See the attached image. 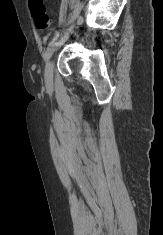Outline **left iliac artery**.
I'll list each match as a JSON object with an SVG mask.
<instances>
[{
  "instance_id": "44dca946",
  "label": "left iliac artery",
  "mask_w": 163,
  "mask_h": 235,
  "mask_svg": "<svg viewBox=\"0 0 163 235\" xmlns=\"http://www.w3.org/2000/svg\"><path fill=\"white\" fill-rule=\"evenodd\" d=\"M57 45H58V42H57V41H52V42L48 45L47 50H46V52H45V54H44V59H45V61H47V60L51 57V55H52V53H53V51H54V49H55V46H57Z\"/></svg>"
}]
</instances>
